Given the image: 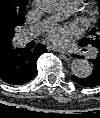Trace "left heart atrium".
I'll use <instances>...</instances> for the list:
<instances>
[{
  "label": "left heart atrium",
  "instance_id": "1",
  "mask_svg": "<svg viewBox=\"0 0 100 118\" xmlns=\"http://www.w3.org/2000/svg\"><path fill=\"white\" fill-rule=\"evenodd\" d=\"M73 34V31L67 27L55 26L47 31V35L51 41L56 44L65 43Z\"/></svg>",
  "mask_w": 100,
  "mask_h": 118
}]
</instances>
